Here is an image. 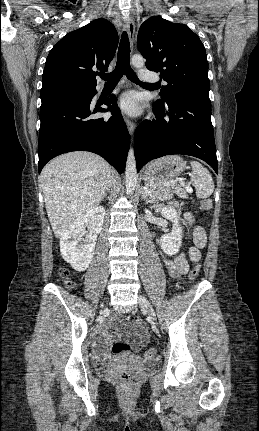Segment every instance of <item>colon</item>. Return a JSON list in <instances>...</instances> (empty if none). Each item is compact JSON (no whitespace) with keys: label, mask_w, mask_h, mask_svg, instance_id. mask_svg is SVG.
<instances>
[{"label":"colon","mask_w":259,"mask_h":431,"mask_svg":"<svg viewBox=\"0 0 259 431\" xmlns=\"http://www.w3.org/2000/svg\"><path fill=\"white\" fill-rule=\"evenodd\" d=\"M212 207V200L210 198H205L201 201L200 206L196 207L197 213H202L203 210L207 211ZM199 265L195 263L189 271V279L191 282L195 281L199 274ZM60 275L65 279V284L68 288L73 286L72 282L67 278L68 272L65 269L60 271ZM130 350V346L123 342H117L112 346V352L115 354H121ZM155 350L150 348L145 351L144 357L146 360H152L155 358ZM119 381L125 387H130L134 384L135 375L128 371H122L119 373Z\"/></svg>","instance_id":"5ec220e1"}]
</instances>
